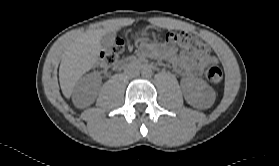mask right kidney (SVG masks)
<instances>
[{
    "label": "right kidney",
    "instance_id": "1",
    "mask_svg": "<svg viewBox=\"0 0 279 166\" xmlns=\"http://www.w3.org/2000/svg\"><path fill=\"white\" fill-rule=\"evenodd\" d=\"M100 84L101 79L96 75L82 78L75 87L74 99L80 104V106H85L95 98Z\"/></svg>",
    "mask_w": 279,
    "mask_h": 166
}]
</instances>
